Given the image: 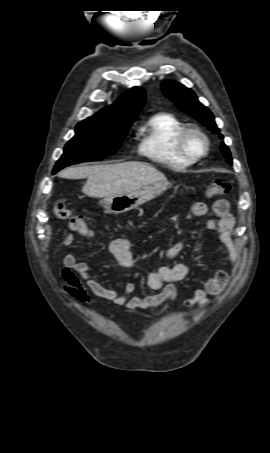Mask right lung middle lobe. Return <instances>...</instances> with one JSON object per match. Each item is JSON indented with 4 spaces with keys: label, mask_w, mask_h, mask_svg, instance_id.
Masks as SVG:
<instances>
[{
    "label": "right lung middle lobe",
    "mask_w": 270,
    "mask_h": 453,
    "mask_svg": "<svg viewBox=\"0 0 270 453\" xmlns=\"http://www.w3.org/2000/svg\"><path fill=\"white\" fill-rule=\"evenodd\" d=\"M130 126L118 127L93 120L78 123L75 136L65 145L53 174L72 164L101 160L114 154Z\"/></svg>",
    "instance_id": "right-lung-middle-lobe-1"
}]
</instances>
